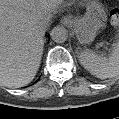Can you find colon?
Segmentation results:
<instances>
[{
    "label": "colon",
    "instance_id": "obj_1",
    "mask_svg": "<svg viewBox=\"0 0 119 119\" xmlns=\"http://www.w3.org/2000/svg\"><path fill=\"white\" fill-rule=\"evenodd\" d=\"M110 21L114 26H117L119 24V8L115 7L111 10Z\"/></svg>",
    "mask_w": 119,
    "mask_h": 119
}]
</instances>
